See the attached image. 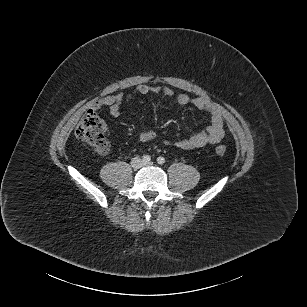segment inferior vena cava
<instances>
[{"label": "inferior vena cava", "mask_w": 307, "mask_h": 307, "mask_svg": "<svg viewBox=\"0 0 307 307\" xmlns=\"http://www.w3.org/2000/svg\"><path fill=\"white\" fill-rule=\"evenodd\" d=\"M131 165H132L134 168H139V167L142 165V160H141L139 157H134V158L131 160Z\"/></svg>", "instance_id": "obj_1"}]
</instances>
